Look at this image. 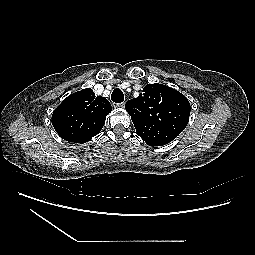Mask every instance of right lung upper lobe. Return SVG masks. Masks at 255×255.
Here are the masks:
<instances>
[{
	"label": "right lung upper lobe",
	"mask_w": 255,
	"mask_h": 255,
	"mask_svg": "<svg viewBox=\"0 0 255 255\" xmlns=\"http://www.w3.org/2000/svg\"><path fill=\"white\" fill-rule=\"evenodd\" d=\"M110 112L109 101L87 88L71 94L54 110L52 124L64 140L83 144L100 133Z\"/></svg>",
	"instance_id": "right-lung-upper-lobe-1"
}]
</instances>
